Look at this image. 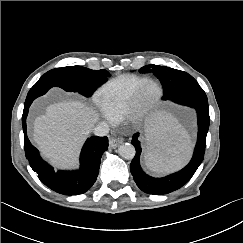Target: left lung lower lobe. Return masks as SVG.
I'll return each mask as SVG.
<instances>
[{
    "label": "left lung lower lobe",
    "mask_w": 243,
    "mask_h": 243,
    "mask_svg": "<svg viewBox=\"0 0 243 243\" xmlns=\"http://www.w3.org/2000/svg\"><path fill=\"white\" fill-rule=\"evenodd\" d=\"M169 100L195 108L197 111L198 137L194 154L187 166L182 170L162 178L147 175L140 166L141 147L139 134H135L131 143L136 149V155L130 164V170L137 186L148 194L163 195L175 191L185 185L201 164L206 147V136L209 129L208 100L201 87L193 88L172 96Z\"/></svg>",
    "instance_id": "obj_1"
}]
</instances>
